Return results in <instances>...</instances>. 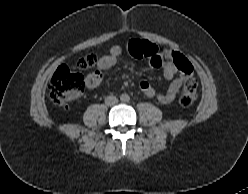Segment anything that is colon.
Masks as SVG:
<instances>
[{
    "label": "colon",
    "instance_id": "5ec220e1",
    "mask_svg": "<svg viewBox=\"0 0 248 194\" xmlns=\"http://www.w3.org/2000/svg\"><path fill=\"white\" fill-rule=\"evenodd\" d=\"M129 53L135 58H153L159 48L148 41L133 40L129 43ZM175 60L182 62V55L175 53ZM98 58L91 54L80 59L74 66L61 65L53 74L49 91L52 101L55 104L63 105L81 94L85 87L83 73H95L98 66ZM186 72L191 73L192 68L186 67ZM90 74V75H91ZM197 99V83L194 79H188L181 91L179 102L183 107L191 106Z\"/></svg>",
    "mask_w": 248,
    "mask_h": 194
}]
</instances>
